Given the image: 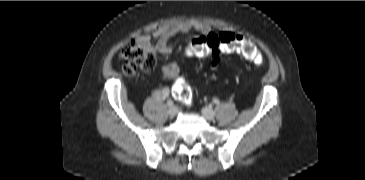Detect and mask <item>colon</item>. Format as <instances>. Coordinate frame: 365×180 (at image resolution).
I'll return each instance as SVG.
<instances>
[{
  "mask_svg": "<svg viewBox=\"0 0 365 180\" xmlns=\"http://www.w3.org/2000/svg\"><path fill=\"white\" fill-rule=\"evenodd\" d=\"M210 52L238 53L244 59L260 65L263 56L257 46L233 33H220L194 39L186 49L189 57H204ZM121 71L126 76H134L139 72H150L156 65L155 54L147 46L133 40L122 46L119 52ZM175 98L186 105L192 101V94L188 84L178 80L172 89Z\"/></svg>",
  "mask_w": 365,
  "mask_h": 180,
  "instance_id": "1",
  "label": "colon"
}]
</instances>
